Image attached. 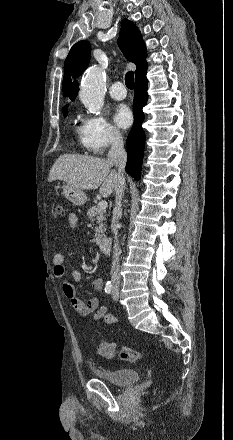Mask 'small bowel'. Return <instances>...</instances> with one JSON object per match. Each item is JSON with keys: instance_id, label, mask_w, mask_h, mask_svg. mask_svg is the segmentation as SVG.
<instances>
[{"instance_id": "small-bowel-1", "label": "small bowel", "mask_w": 233, "mask_h": 440, "mask_svg": "<svg viewBox=\"0 0 233 440\" xmlns=\"http://www.w3.org/2000/svg\"><path fill=\"white\" fill-rule=\"evenodd\" d=\"M67 221L69 227L74 229L77 226L78 221L76 214L73 212L69 213ZM53 265L55 277L61 281L62 291L69 301V304L78 315L83 317L91 316L93 321H102L108 325L117 322V318L114 315L107 314V307L101 305L97 297H90L87 300H83L76 295L73 284L67 280V273L69 272L71 279L76 283L81 281L82 274L75 268H67L63 253L58 252L54 254ZM90 284L95 291H101L103 289V281L100 277H92L90 279Z\"/></svg>"}]
</instances>
